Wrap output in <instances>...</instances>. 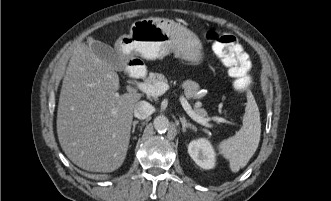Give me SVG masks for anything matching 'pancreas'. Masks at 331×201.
<instances>
[{
	"label": "pancreas",
	"mask_w": 331,
	"mask_h": 201,
	"mask_svg": "<svg viewBox=\"0 0 331 201\" xmlns=\"http://www.w3.org/2000/svg\"><path fill=\"white\" fill-rule=\"evenodd\" d=\"M157 82L167 83L168 80L161 73H150L149 77L146 78V80H145V83L152 84V85ZM183 86H184V93L187 98L196 99V98H200L202 96V94H198V92L200 91V87H199L198 83H196L195 81L186 80L183 82ZM195 113L203 118H205L207 116V112L203 108L196 107Z\"/></svg>",
	"instance_id": "pancreas-1"
}]
</instances>
